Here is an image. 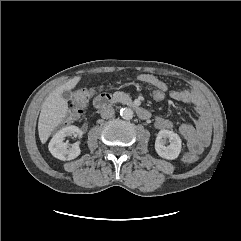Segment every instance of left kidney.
Returning <instances> with one entry per match:
<instances>
[{"instance_id":"left-kidney-1","label":"left kidney","mask_w":241,"mask_h":241,"mask_svg":"<svg viewBox=\"0 0 241 241\" xmlns=\"http://www.w3.org/2000/svg\"><path fill=\"white\" fill-rule=\"evenodd\" d=\"M166 139L170 144L166 146ZM181 138L171 130H160L155 140V150L157 154L165 159H176L181 152Z\"/></svg>"}]
</instances>
